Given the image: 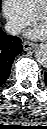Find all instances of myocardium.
Returning a JSON list of instances; mask_svg holds the SVG:
<instances>
[{
  "instance_id": "f54148a6",
  "label": "myocardium",
  "mask_w": 47,
  "mask_h": 129,
  "mask_svg": "<svg viewBox=\"0 0 47 129\" xmlns=\"http://www.w3.org/2000/svg\"><path fill=\"white\" fill-rule=\"evenodd\" d=\"M46 10H47V0L44 1L42 6L35 12L34 19L38 21L41 16H46Z\"/></svg>"
}]
</instances>
